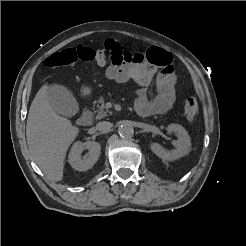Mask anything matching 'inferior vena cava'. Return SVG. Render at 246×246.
Listing matches in <instances>:
<instances>
[{"mask_svg":"<svg viewBox=\"0 0 246 246\" xmlns=\"http://www.w3.org/2000/svg\"><path fill=\"white\" fill-rule=\"evenodd\" d=\"M111 127H112V123L107 121L99 122L96 125V129L99 131H108L111 129Z\"/></svg>","mask_w":246,"mask_h":246,"instance_id":"1","label":"inferior vena cava"}]
</instances>
